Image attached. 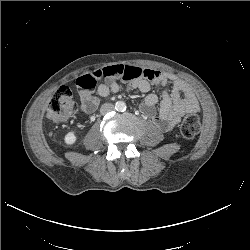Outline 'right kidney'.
<instances>
[{"label": "right kidney", "instance_id": "obj_1", "mask_svg": "<svg viewBox=\"0 0 250 250\" xmlns=\"http://www.w3.org/2000/svg\"><path fill=\"white\" fill-rule=\"evenodd\" d=\"M77 140V136L75 135V132L71 131L68 132L65 137H64V141L67 145H72L76 142Z\"/></svg>", "mask_w": 250, "mask_h": 250}]
</instances>
